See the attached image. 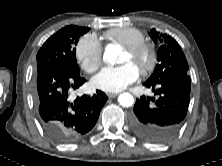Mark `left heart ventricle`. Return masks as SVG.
<instances>
[{
	"label": "left heart ventricle",
	"mask_w": 222,
	"mask_h": 166,
	"mask_svg": "<svg viewBox=\"0 0 222 166\" xmlns=\"http://www.w3.org/2000/svg\"><path fill=\"white\" fill-rule=\"evenodd\" d=\"M145 58L143 56L139 57H132L127 52H124L122 63L131 62L133 63L138 69L143 65Z\"/></svg>",
	"instance_id": "1"
}]
</instances>
